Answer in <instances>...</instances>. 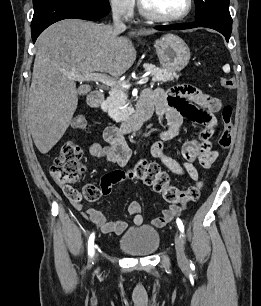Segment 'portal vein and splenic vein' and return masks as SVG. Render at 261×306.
Returning a JSON list of instances; mask_svg holds the SVG:
<instances>
[{
  "label": "portal vein and splenic vein",
  "instance_id": "portal-vein-and-splenic-vein-1",
  "mask_svg": "<svg viewBox=\"0 0 261 306\" xmlns=\"http://www.w3.org/2000/svg\"><path fill=\"white\" fill-rule=\"evenodd\" d=\"M72 80L75 81H99L101 83H103L104 85H107L109 87L115 88V87H124V88H129L131 86V84L127 83V82H121V81H117L114 78L109 77L106 74L103 73H89V74H85V75H71L69 77ZM149 81V77H144L143 79H141L140 81L137 82V84H145Z\"/></svg>",
  "mask_w": 261,
  "mask_h": 306
}]
</instances>
